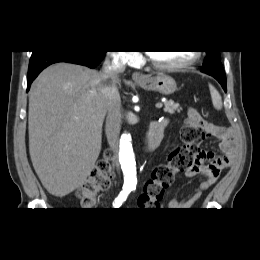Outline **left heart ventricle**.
<instances>
[{
	"label": "left heart ventricle",
	"mask_w": 260,
	"mask_h": 260,
	"mask_svg": "<svg viewBox=\"0 0 260 260\" xmlns=\"http://www.w3.org/2000/svg\"><path fill=\"white\" fill-rule=\"evenodd\" d=\"M152 57L159 63L176 64L190 59L193 55L191 51H153Z\"/></svg>",
	"instance_id": "left-heart-ventricle-1"
}]
</instances>
